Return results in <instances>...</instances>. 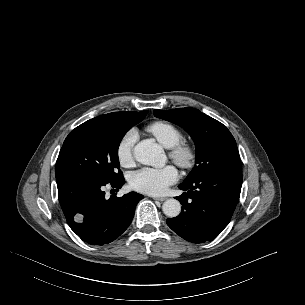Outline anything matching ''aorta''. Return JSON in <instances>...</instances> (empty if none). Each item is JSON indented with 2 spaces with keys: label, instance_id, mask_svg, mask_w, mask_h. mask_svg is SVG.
Returning a JSON list of instances; mask_svg holds the SVG:
<instances>
[{
  "label": "aorta",
  "instance_id": "aorta-1",
  "mask_svg": "<svg viewBox=\"0 0 305 305\" xmlns=\"http://www.w3.org/2000/svg\"><path fill=\"white\" fill-rule=\"evenodd\" d=\"M135 159L144 165L162 167L166 163V155L158 144L151 140H143L134 147ZM162 210L170 218L177 217L181 212V204L176 199H168L163 203Z\"/></svg>",
  "mask_w": 305,
  "mask_h": 305
}]
</instances>
